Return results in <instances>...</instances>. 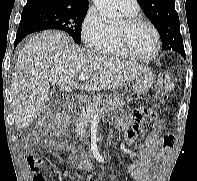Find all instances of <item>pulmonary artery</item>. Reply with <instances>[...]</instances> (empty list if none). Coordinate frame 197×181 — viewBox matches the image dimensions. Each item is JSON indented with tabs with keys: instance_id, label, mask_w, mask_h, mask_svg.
Here are the masks:
<instances>
[{
	"instance_id": "pulmonary-artery-1",
	"label": "pulmonary artery",
	"mask_w": 197,
	"mask_h": 181,
	"mask_svg": "<svg viewBox=\"0 0 197 181\" xmlns=\"http://www.w3.org/2000/svg\"><path fill=\"white\" fill-rule=\"evenodd\" d=\"M117 3L124 13H137L139 9L137 0H117Z\"/></svg>"
}]
</instances>
